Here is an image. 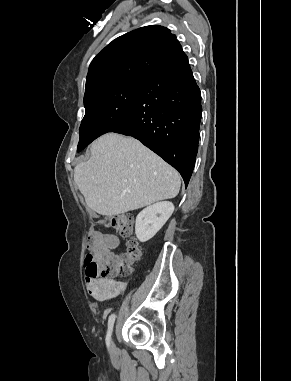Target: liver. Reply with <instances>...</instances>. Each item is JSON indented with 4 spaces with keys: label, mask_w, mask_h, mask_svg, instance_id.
<instances>
[{
    "label": "liver",
    "mask_w": 291,
    "mask_h": 381,
    "mask_svg": "<svg viewBox=\"0 0 291 381\" xmlns=\"http://www.w3.org/2000/svg\"><path fill=\"white\" fill-rule=\"evenodd\" d=\"M74 181L89 208L104 216L133 211L177 196L178 172L132 137L105 134L91 157L74 168Z\"/></svg>",
    "instance_id": "1"
}]
</instances>
